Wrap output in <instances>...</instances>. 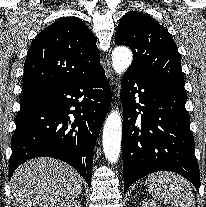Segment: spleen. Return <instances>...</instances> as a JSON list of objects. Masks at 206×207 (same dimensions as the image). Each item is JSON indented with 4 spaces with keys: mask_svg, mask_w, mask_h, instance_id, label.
Here are the masks:
<instances>
[{
    "mask_svg": "<svg viewBox=\"0 0 206 207\" xmlns=\"http://www.w3.org/2000/svg\"><path fill=\"white\" fill-rule=\"evenodd\" d=\"M153 198L174 207H195V196L187 180L173 172H157L146 178Z\"/></svg>",
    "mask_w": 206,
    "mask_h": 207,
    "instance_id": "spleen-1",
    "label": "spleen"
}]
</instances>
